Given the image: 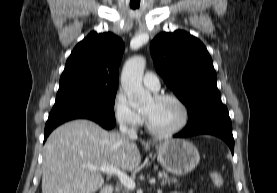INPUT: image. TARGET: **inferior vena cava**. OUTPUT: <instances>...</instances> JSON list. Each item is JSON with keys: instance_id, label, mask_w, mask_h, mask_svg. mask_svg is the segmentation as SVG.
<instances>
[{"instance_id": "inferior-vena-cava-1", "label": "inferior vena cava", "mask_w": 277, "mask_h": 193, "mask_svg": "<svg viewBox=\"0 0 277 193\" xmlns=\"http://www.w3.org/2000/svg\"><path fill=\"white\" fill-rule=\"evenodd\" d=\"M119 129H120V133L122 135H125V136H127L129 138H132V139L137 138L136 131L134 129L128 128V126H127V124H126V122L124 120H121V122H120V128Z\"/></svg>"}]
</instances>
